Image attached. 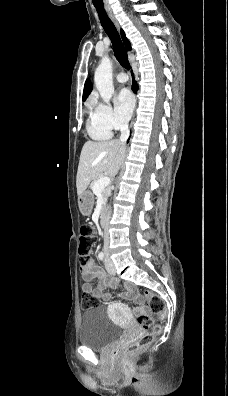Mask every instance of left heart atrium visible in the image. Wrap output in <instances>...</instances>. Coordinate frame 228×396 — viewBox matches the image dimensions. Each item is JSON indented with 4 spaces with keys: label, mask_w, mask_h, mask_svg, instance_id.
<instances>
[{
    "label": "left heart atrium",
    "mask_w": 228,
    "mask_h": 396,
    "mask_svg": "<svg viewBox=\"0 0 228 396\" xmlns=\"http://www.w3.org/2000/svg\"><path fill=\"white\" fill-rule=\"evenodd\" d=\"M134 105V96L128 89H122L115 98L117 116L125 122L130 118Z\"/></svg>",
    "instance_id": "39dd6f15"
}]
</instances>
